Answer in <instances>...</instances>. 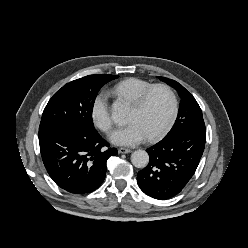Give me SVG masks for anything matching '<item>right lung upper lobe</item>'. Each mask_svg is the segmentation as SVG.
<instances>
[{"mask_svg": "<svg viewBox=\"0 0 248 248\" xmlns=\"http://www.w3.org/2000/svg\"><path fill=\"white\" fill-rule=\"evenodd\" d=\"M105 76H109V77H118V76H115V75H105Z\"/></svg>", "mask_w": 248, "mask_h": 248, "instance_id": "1", "label": "right lung upper lobe"}]
</instances>
